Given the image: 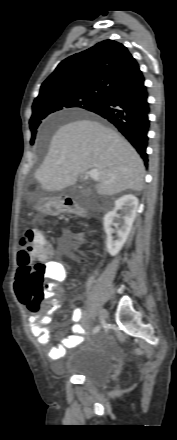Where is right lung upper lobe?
Wrapping results in <instances>:
<instances>
[{"instance_id": "obj_1", "label": "right lung upper lobe", "mask_w": 177, "mask_h": 440, "mask_svg": "<svg viewBox=\"0 0 177 440\" xmlns=\"http://www.w3.org/2000/svg\"><path fill=\"white\" fill-rule=\"evenodd\" d=\"M139 72L138 63L123 44L104 40L63 60L41 85L33 107L70 92L104 96Z\"/></svg>"}]
</instances>
